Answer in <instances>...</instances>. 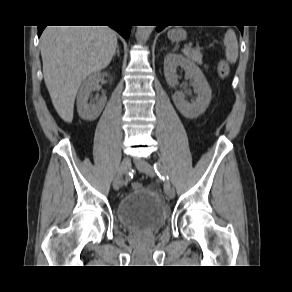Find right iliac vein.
Segmentation results:
<instances>
[{
    "mask_svg": "<svg viewBox=\"0 0 292 292\" xmlns=\"http://www.w3.org/2000/svg\"><path fill=\"white\" fill-rule=\"evenodd\" d=\"M130 168H131V160L130 158L125 157L120 164L118 174L113 182V188L115 190H118L123 185V182H120V179H122L123 176L129 172Z\"/></svg>",
    "mask_w": 292,
    "mask_h": 292,
    "instance_id": "1",
    "label": "right iliac vein"
}]
</instances>
